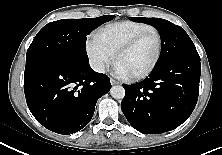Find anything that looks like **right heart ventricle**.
I'll return each instance as SVG.
<instances>
[{"label": "right heart ventricle", "instance_id": "right-heart-ventricle-1", "mask_svg": "<svg viewBox=\"0 0 222 155\" xmlns=\"http://www.w3.org/2000/svg\"><path fill=\"white\" fill-rule=\"evenodd\" d=\"M152 29H155V27L145 22L121 21L106 25L98 34L115 53L120 46L136 35Z\"/></svg>", "mask_w": 222, "mask_h": 155}]
</instances>
